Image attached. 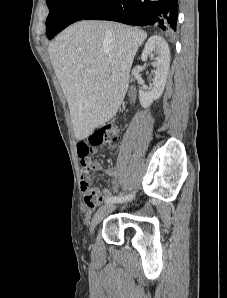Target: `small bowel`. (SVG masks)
Segmentation results:
<instances>
[{
	"instance_id": "small-bowel-1",
	"label": "small bowel",
	"mask_w": 227,
	"mask_h": 298,
	"mask_svg": "<svg viewBox=\"0 0 227 298\" xmlns=\"http://www.w3.org/2000/svg\"><path fill=\"white\" fill-rule=\"evenodd\" d=\"M95 151H97V146H89V142H85L84 139L78 140L77 155H78V158L80 159L81 166H82V176H81L82 190L85 194L84 185L86 184L89 187V189L98 196V202H99L100 200L108 199L109 197H111L112 192L117 188L118 171L115 167L104 169L99 162H91L90 155H95ZM89 170L104 171L111 178L112 189L105 188L101 193L99 189L90 187L89 176H88ZM97 203L95 205H90L88 203L86 204L88 205V207L94 208L97 205Z\"/></svg>"
}]
</instances>
